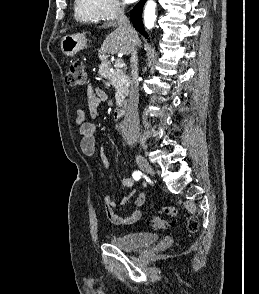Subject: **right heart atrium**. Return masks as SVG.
<instances>
[{
    "label": "right heart atrium",
    "mask_w": 259,
    "mask_h": 294,
    "mask_svg": "<svg viewBox=\"0 0 259 294\" xmlns=\"http://www.w3.org/2000/svg\"><path fill=\"white\" fill-rule=\"evenodd\" d=\"M103 19L111 20L123 12V5L119 0H96Z\"/></svg>",
    "instance_id": "obj_1"
}]
</instances>
